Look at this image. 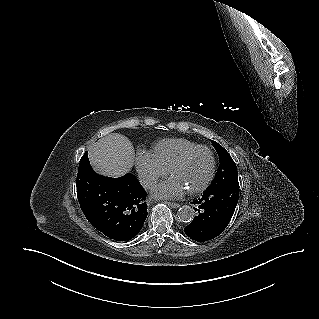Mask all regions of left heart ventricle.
Here are the masks:
<instances>
[{
    "label": "left heart ventricle",
    "mask_w": 319,
    "mask_h": 319,
    "mask_svg": "<svg viewBox=\"0 0 319 319\" xmlns=\"http://www.w3.org/2000/svg\"><path fill=\"white\" fill-rule=\"evenodd\" d=\"M210 167L211 158L208 152L198 151L176 168L171 177L181 183L188 191L198 187L205 181Z\"/></svg>",
    "instance_id": "b2bd125f"
}]
</instances>
